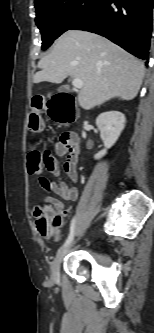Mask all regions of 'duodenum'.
<instances>
[{"mask_svg":"<svg viewBox=\"0 0 154 333\" xmlns=\"http://www.w3.org/2000/svg\"><path fill=\"white\" fill-rule=\"evenodd\" d=\"M53 111L60 117L68 121L76 119V109L74 105V98L70 94H60L56 97V104Z\"/></svg>","mask_w":154,"mask_h":333,"instance_id":"obj_1","label":"duodenum"}]
</instances>
